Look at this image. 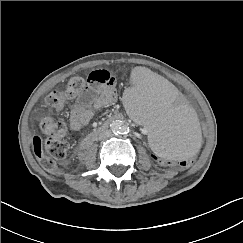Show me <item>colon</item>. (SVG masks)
<instances>
[{"label": "colon", "mask_w": 243, "mask_h": 243, "mask_svg": "<svg viewBox=\"0 0 243 243\" xmlns=\"http://www.w3.org/2000/svg\"><path fill=\"white\" fill-rule=\"evenodd\" d=\"M87 78L80 76L72 77L66 84L64 89L53 90L46 99L47 107L54 110L61 109L65 103L84 92L90 85L97 83L98 85H111L115 82L113 75L107 70L89 69L86 72ZM41 131L48 135L43 143L39 136L32 139V147L37 156L41 167L50 173H59L57 162L63 160L68 152L69 144L64 138L66 125L62 121L56 120L54 117L46 115L40 121ZM144 155L150 162L159 167L172 169L173 165L176 169H189L198 164V154L193 152L188 160H175L168 158L160 159L150 149L144 150Z\"/></svg>", "instance_id": "1"}]
</instances>
